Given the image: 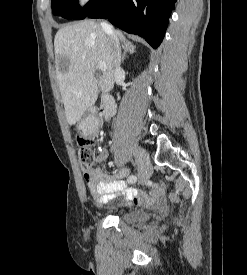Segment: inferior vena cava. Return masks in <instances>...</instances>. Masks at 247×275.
Listing matches in <instances>:
<instances>
[{"mask_svg":"<svg viewBox=\"0 0 247 275\" xmlns=\"http://www.w3.org/2000/svg\"><path fill=\"white\" fill-rule=\"evenodd\" d=\"M101 27L108 33H110V41L112 45V54H113V67H114V75H117L122 71L121 68V48H120V43L119 39L114 33L113 29L106 23L102 22Z\"/></svg>","mask_w":247,"mask_h":275,"instance_id":"1","label":"inferior vena cava"}]
</instances>
